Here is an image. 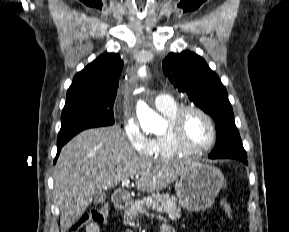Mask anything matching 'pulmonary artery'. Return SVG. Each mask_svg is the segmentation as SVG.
Returning <instances> with one entry per match:
<instances>
[{
	"mask_svg": "<svg viewBox=\"0 0 289 232\" xmlns=\"http://www.w3.org/2000/svg\"><path fill=\"white\" fill-rule=\"evenodd\" d=\"M173 102V98L167 94H159L154 100V105L157 109H162L169 106Z\"/></svg>",
	"mask_w": 289,
	"mask_h": 232,
	"instance_id": "1",
	"label": "pulmonary artery"
}]
</instances>
